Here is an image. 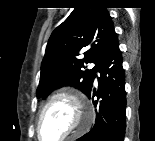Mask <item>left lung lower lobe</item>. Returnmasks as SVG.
<instances>
[{
  "instance_id": "1",
  "label": "left lung lower lobe",
  "mask_w": 155,
  "mask_h": 141,
  "mask_svg": "<svg viewBox=\"0 0 155 141\" xmlns=\"http://www.w3.org/2000/svg\"><path fill=\"white\" fill-rule=\"evenodd\" d=\"M122 55L119 49L117 35L108 43L98 63L97 71L99 90L93 88L87 93L96 108L94 127L81 141H124L126 128V92L125 74L122 66ZM96 71V72H97ZM96 77V75H95ZM97 96V100L93 98ZM117 101V109L112 108Z\"/></svg>"
}]
</instances>
